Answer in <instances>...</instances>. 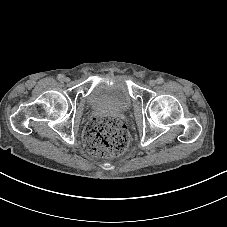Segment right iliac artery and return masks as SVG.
Segmentation results:
<instances>
[{
	"instance_id": "1",
	"label": "right iliac artery",
	"mask_w": 227,
	"mask_h": 227,
	"mask_svg": "<svg viewBox=\"0 0 227 227\" xmlns=\"http://www.w3.org/2000/svg\"><path fill=\"white\" fill-rule=\"evenodd\" d=\"M57 79H58L59 81H61V80L64 79V76H63L62 74H58Z\"/></svg>"
}]
</instances>
